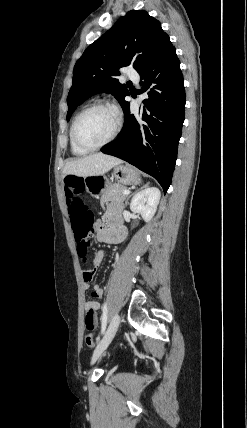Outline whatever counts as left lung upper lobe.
<instances>
[{"label": "left lung upper lobe", "mask_w": 247, "mask_h": 428, "mask_svg": "<svg viewBox=\"0 0 247 428\" xmlns=\"http://www.w3.org/2000/svg\"><path fill=\"white\" fill-rule=\"evenodd\" d=\"M173 48L158 20L146 11H129L76 62L67 104V121L76 107L97 93H110L124 108L127 87L115 76L118 69L133 65L140 72L156 57Z\"/></svg>", "instance_id": "5c2ea615"}]
</instances>
